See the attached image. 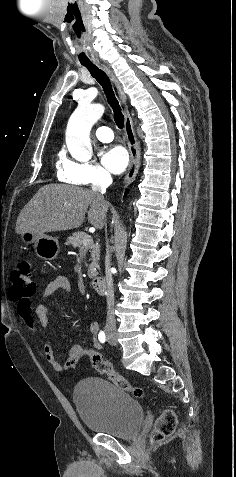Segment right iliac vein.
<instances>
[{"label":"right iliac vein","instance_id":"obj_1","mask_svg":"<svg viewBox=\"0 0 236 477\" xmlns=\"http://www.w3.org/2000/svg\"><path fill=\"white\" fill-rule=\"evenodd\" d=\"M108 340H109V342H111V343H116V340H117V339H116V334H115L114 332H110V333L108 334Z\"/></svg>","mask_w":236,"mask_h":477}]
</instances>
